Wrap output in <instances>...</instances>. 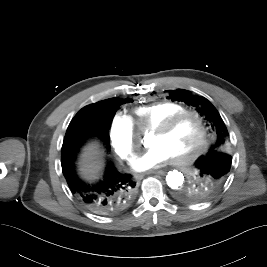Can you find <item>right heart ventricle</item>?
Instances as JSON below:
<instances>
[{
    "label": "right heart ventricle",
    "mask_w": 267,
    "mask_h": 267,
    "mask_svg": "<svg viewBox=\"0 0 267 267\" xmlns=\"http://www.w3.org/2000/svg\"><path fill=\"white\" fill-rule=\"evenodd\" d=\"M187 111V108L175 102H157L137 107L129 118L141 131L153 130L169 117Z\"/></svg>",
    "instance_id": "obj_1"
}]
</instances>
